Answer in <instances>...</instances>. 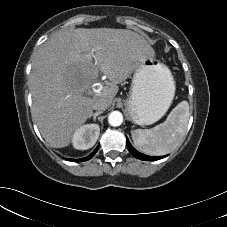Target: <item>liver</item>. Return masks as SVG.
I'll return each mask as SVG.
<instances>
[{
	"label": "liver",
	"mask_w": 227,
	"mask_h": 227,
	"mask_svg": "<svg viewBox=\"0 0 227 227\" xmlns=\"http://www.w3.org/2000/svg\"><path fill=\"white\" fill-rule=\"evenodd\" d=\"M148 57H155L153 48L126 29L77 28L51 36L37 51L29 79L32 116L46 142L53 148L70 145L93 104L109 107L117 85ZM98 72L108 78L105 86L96 83Z\"/></svg>",
	"instance_id": "1"
}]
</instances>
